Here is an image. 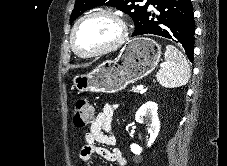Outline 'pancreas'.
Returning a JSON list of instances; mask_svg holds the SVG:
<instances>
[{
    "mask_svg": "<svg viewBox=\"0 0 227 166\" xmlns=\"http://www.w3.org/2000/svg\"><path fill=\"white\" fill-rule=\"evenodd\" d=\"M130 91H132V92H138V91H136V87H132V89Z\"/></svg>",
    "mask_w": 227,
    "mask_h": 166,
    "instance_id": "1",
    "label": "pancreas"
}]
</instances>
